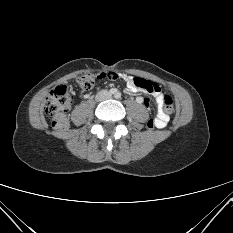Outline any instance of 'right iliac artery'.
<instances>
[{
	"mask_svg": "<svg viewBox=\"0 0 233 233\" xmlns=\"http://www.w3.org/2000/svg\"><path fill=\"white\" fill-rule=\"evenodd\" d=\"M110 93L111 94H115L116 93V89H110Z\"/></svg>",
	"mask_w": 233,
	"mask_h": 233,
	"instance_id": "1",
	"label": "right iliac artery"
}]
</instances>
